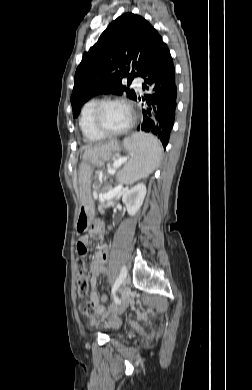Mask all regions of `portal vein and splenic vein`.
Here are the masks:
<instances>
[{
    "mask_svg": "<svg viewBox=\"0 0 252 390\" xmlns=\"http://www.w3.org/2000/svg\"><path fill=\"white\" fill-rule=\"evenodd\" d=\"M126 161H127V158H126V157H121V158L115 160V161L113 162V168L110 169L108 172H109V173H112V174L115 173L116 169H117L119 166H121V164H123V163L126 162ZM120 190H121V186H119V187H117L116 189H114L113 192L104 194L103 196H104L105 199H111V198H113L116 194H118V193L120 192Z\"/></svg>",
    "mask_w": 252,
    "mask_h": 390,
    "instance_id": "18ae733b",
    "label": "portal vein and splenic vein"
}]
</instances>
